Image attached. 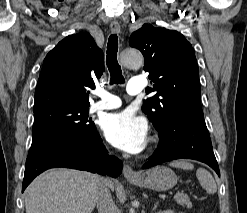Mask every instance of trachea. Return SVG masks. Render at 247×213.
Instances as JSON below:
<instances>
[{
	"label": "trachea",
	"mask_w": 247,
	"mask_h": 213,
	"mask_svg": "<svg viewBox=\"0 0 247 213\" xmlns=\"http://www.w3.org/2000/svg\"><path fill=\"white\" fill-rule=\"evenodd\" d=\"M118 52V38L116 34L109 37L107 44L106 63L110 72V84H123L124 77L122 75L121 67L117 61Z\"/></svg>",
	"instance_id": "3493384b"
}]
</instances>
